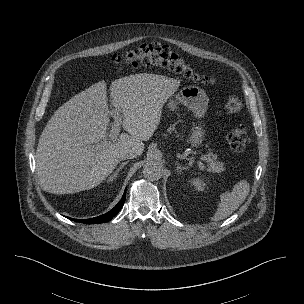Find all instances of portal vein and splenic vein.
Returning <instances> with one entry per match:
<instances>
[{"label":"portal vein and splenic vein","mask_w":304,"mask_h":304,"mask_svg":"<svg viewBox=\"0 0 304 304\" xmlns=\"http://www.w3.org/2000/svg\"><path fill=\"white\" fill-rule=\"evenodd\" d=\"M111 115L114 118V122L109 133V140L114 141L120 133L122 119L117 110H112ZM98 147H100V145H96V148ZM202 160H205V157L202 158Z\"/></svg>","instance_id":"obj_1"}]
</instances>
